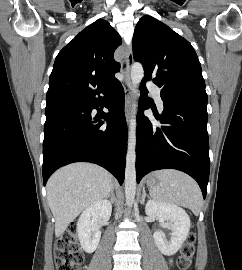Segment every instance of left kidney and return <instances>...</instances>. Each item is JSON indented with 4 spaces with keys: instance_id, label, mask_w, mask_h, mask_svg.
<instances>
[{
    "instance_id": "obj_1",
    "label": "left kidney",
    "mask_w": 242,
    "mask_h": 270,
    "mask_svg": "<svg viewBox=\"0 0 242 270\" xmlns=\"http://www.w3.org/2000/svg\"><path fill=\"white\" fill-rule=\"evenodd\" d=\"M145 212L149 216L156 217L164 228L171 230L170 240L166 239L163 231L154 232L153 238L158 249L167 256L177 253L186 240L191 226L186 211L176 205L149 200Z\"/></svg>"
}]
</instances>
